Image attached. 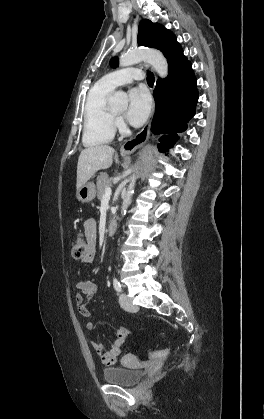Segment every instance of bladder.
<instances>
[{
	"label": "bladder",
	"mask_w": 264,
	"mask_h": 419,
	"mask_svg": "<svg viewBox=\"0 0 264 419\" xmlns=\"http://www.w3.org/2000/svg\"><path fill=\"white\" fill-rule=\"evenodd\" d=\"M145 372L142 369L123 364L122 366L107 367L103 370V378L109 384L131 387L138 384Z\"/></svg>",
	"instance_id": "31cf9c89"
}]
</instances>
